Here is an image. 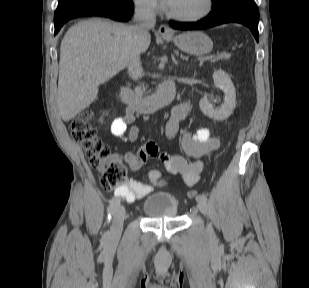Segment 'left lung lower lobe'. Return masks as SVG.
I'll list each match as a JSON object with an SVG mask.
<instances>
[{"label": "left lung lower lobe", "mask_w": 309, "mask_h": 288, "mask_svg": "<svg viewBox=\"0 0 309 288\" xmlns=\"http://www.w3.org/2000/svg\"><path fill=\"white\" fill-rule=\"evenodd\" d=\"M258 21L259 12L254 0H227L219 7L213 9L209 15L201 21L191 23L170 21L169 24L174 29L197 30L229 22H236L246 25L258 42Z\"/></svg>", "instance_id": "0a47b994"}]
</instances>
